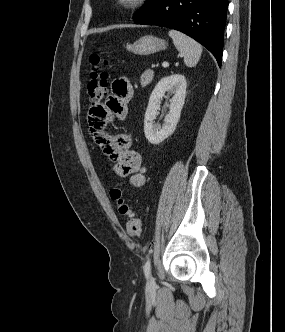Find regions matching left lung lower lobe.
<instances>
[{
  "instance_id": "obj_1",
  "label": "left lung lower lobe",
  "mask_w": 285,
  "mask_h": 332,
  "mask_svg": "<svg viewBox=\"0 0 285 332\" xmlns=\"http://www.w3.org/2000/svg\"><path fill=\"white\" fill-rule=\"evenodd\" d=\"M227 8L228 0H160L134 22L187 34L206 47L221 66Z\"/></svg>"
}]
</instances>
